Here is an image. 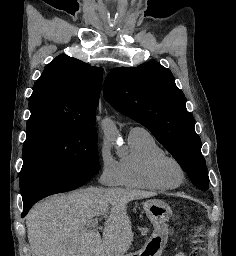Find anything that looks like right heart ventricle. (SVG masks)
Instances as JSON below:
<instances>
[{"instance_id":"1","label":"right heart ventricle","mask_w":236,"mask_h":256,"mask_svg":"<svg viewBox=\"0 0 236 256\" xmlns=\"http://www.w3.org/2000/svg\"><path fill=\"white\" fill-rule=\"evenodd\" d=\"M129 144V155L120 160L122 185L134 189H164L165 187L154 182L150 176L153 159L166 154L163 148L145 129L129 134Z\"/></svg>"}]
</instances>
